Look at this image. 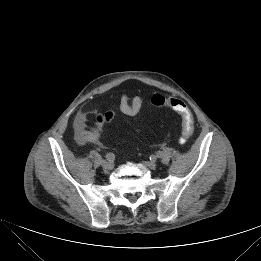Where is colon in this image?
Returning a JSON list of instances; mask_svg holds the SVG:
<instances>
[{"label": "colon", "instance_id": "obj_1", "mask_svg": "<svg viewBox=\"0 0 261 261\" xmlns=\"http://www.w3.org/2000/svg\"><path fill=\"white\" fill-rule=\"evenodd\" d=\"M151 103L156 107L170 108L177 112L182 119L180 143L185 144L192 136L194 131V119L186 103L176 97H165L155 94L151 98ZM105 122H110L114 118L113 112H107L103 115Z\"/></svg>", "mask_w": 261, "mask_h": 261}]
</instances>
